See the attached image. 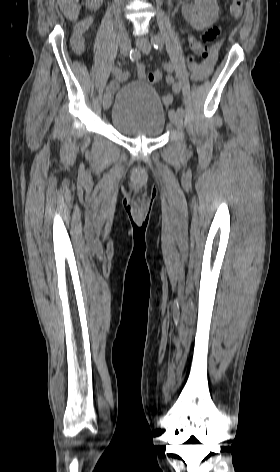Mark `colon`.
I'll use <instances>...</instances> for the list:
<instances>
[{
	"label": "colon",
	"mask_w": 280,
	"mask_h": 472,
	"mask_svg": "<svg viewBox=\"0 0 280 472\" xmlns=\"http://www.w3.org/2000/svg\"><path fill=\"white\" fill-rule=\"evenodd\" d=\"M244 0H232L230 6V14L233 19H239L243 12ZM221 33L220 26H213L209 28L201 37L200 40H197L195 45L192 47L194 53L197 55L207 58L212 54L214 48L209 46V43L217 39ZM194 61L190 58V64H193ZM162 78V74L159 70H155L148 74L147 80L150 83H156Z\"/></svg>",
	"instance_id": "obj_1"
}]
</instances>
